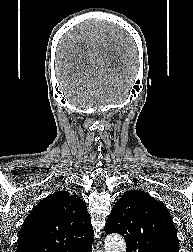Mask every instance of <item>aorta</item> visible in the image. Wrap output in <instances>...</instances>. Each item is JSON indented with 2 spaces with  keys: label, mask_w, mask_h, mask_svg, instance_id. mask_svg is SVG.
I'll use <instances>...</instances> for the list:
<instances>
[{
  "label": "aorta",
  "mask_w": 193,
  "mask_h": 252,
  "mask_svg": "<svg viewBox=\"0 0 193 252\" xmlns=\"http://www.w3.org/2000/svg\"><path fill=\"white\" fill-rule=\"evenodd\" d=\"M126 243L120 235H109L105 239V252H125Z\"/></svg>",
  "instance_id": "1"
}]
</instances>
